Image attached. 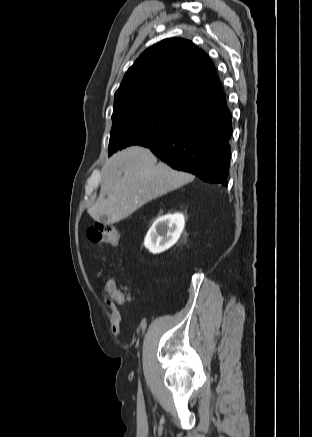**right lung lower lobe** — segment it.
I'll use <instances>...</instances> for the list:
<instances>
[{
	"mask_svg": "<svg viewBox=\"0 0 312 437\" xmlns=\"http://www.w3.org/2000/svg\"><path fill=\"white\" fill-rule=\"evenodd\" d=\"M232 116L223 96L196 110L175 132L150 141L148 147L172 168L190 172L208 183L227 186Z\"/></svg>",
	"mask_w": 312,
	"mask_h": 437,
	"instance_id": "1",
	"label": "right lung lower lobe"
}]
</instances>
